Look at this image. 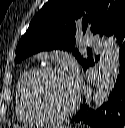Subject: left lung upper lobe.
Here are the masks:
<instances>
[{"label": "left lung upper lobe", "instance_id": "obj_1", "mask_svg": "<svg viewBox=\"0 0 125 128\" xmlns=\"http://www.w3.org/2000/svg\"><path fill=\"white\" fill-rule=\"evenodd\" d=\"M125 24V0H50L32 19L16 48L15 63L44 50L72 51L86 70L94 65L75 49L78 33L114 35Z\"/></svg>", "mask_w": 125, "mask_h": 128}]
</instances>
